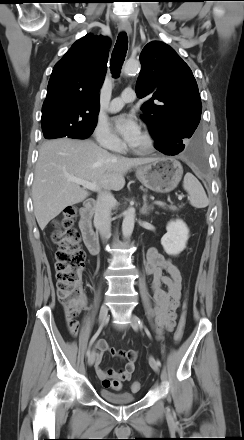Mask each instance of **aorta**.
I'll use <instances>...</instances> for the list:
<instances>
[{
    "instance_id": "762f6f07",
    "label": "aorta",
    "mask_w": 244,
    "mask_h": 440,
    "mask_svg": "<svg viewBox=\"0 0 244 440\" xmlns=\"http://www.w3.org/2000/svg\"><path fill=\"white\" fill-rule=\"evenodd\" d=\"M140 68V63L138 61H127L123 66V72L126 75L136 73ZM135 223V211L134 209H128L125 212L123 223H122V235L124 238L131 236Z\"/></svg>"
}]
</instances>
